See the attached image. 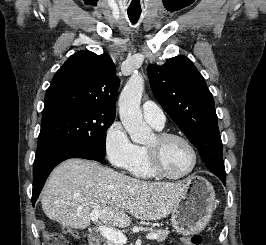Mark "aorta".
Listing matches in <instances>:
<instances>
[{
	"mask_svg": "<svg viewBox=\"0 0 266 245\" xmlns=\"http://www.w3.org/2000/svg\"><path fill=\"white\" fill-rule=\"evenodd\" d=\"M144 78L139 72H133L119 96L118 106L121 123L129 133L133 143L144 145L152 135V129L146 125L140 110Z\"/></svg>",
	"mask_w": 266,
	"mask_h": 245,
	"instance_id": "1",
	"label": "aorta"
}]
</instances>
